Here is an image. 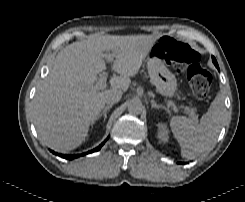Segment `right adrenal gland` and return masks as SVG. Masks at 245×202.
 <instances>
[{
	"mask_svg": "<svg viewBox=\"0 0 245 202\" xmlns=\"http://www.w3.org/2000/svg\"><path fill=\"white\" fill-rule=\"evenodd\" d=\"M112 104L111 105H107L103 110L102 112L100 113V115L98 116L97 120H99L102 116L104 118L103 122L106 120L107 118V112L110 108H112Z\"/></svg>",
	"mask_w": 245,
	"mask_h": 202,
	"instance_id": "2a0ac1e0",
	"label": "right adrenal gland"
}]
</instances>
